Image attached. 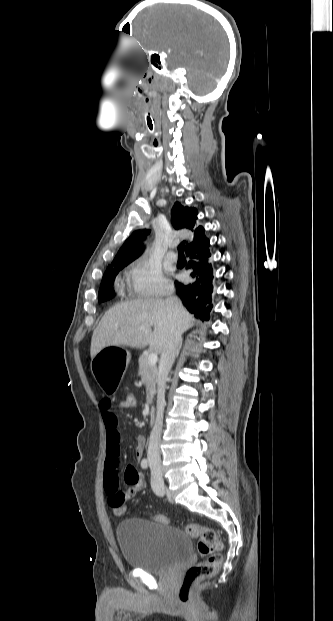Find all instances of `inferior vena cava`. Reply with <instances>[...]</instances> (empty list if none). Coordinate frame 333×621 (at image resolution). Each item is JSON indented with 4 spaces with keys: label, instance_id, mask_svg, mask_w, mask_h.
I'll use <instances>...</instances> for the list:
<instances>
[{
    "label": "inferior vena cava",
    "instance_id": "602c4592",
    "mask_svg": "<svg viewBox=\"0 0 333 621\" xmlns=\"http://www.w3.org/2000/svg\"><path fill=\"white\" fill-rule=\"evenodd\" d=\"M166 303L168 305L170 326L159 362L157 416L154 427L150 434L147 451V459L150 465L161 463L159 446L163 426V412L166 405V380L174 364L176 354L178 353L182 335V329L177 321V315L181 307V303L176 297L171 295L166 299Z\"/></svg>",
    "mask_w": 333,
    "mask_h": 621
}]
</instances>
